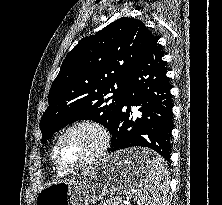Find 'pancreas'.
Listing matches in <instances>:
<instances>
[{"label": "pancreas", "instance_id": "obj_1", "mask_svg": "<svg viewBox=\"0 0 222 205\" xmlns=\"http://www.w3.org/2000/svg\"><path fill=\"white\" fill-rule=\"evenodd\" d=\"M100 205H123L121 200L118 198H110L106 201L101 202Z\"/></svg>", "mask_w": 222, "mask_h": 205}]
</instances>
